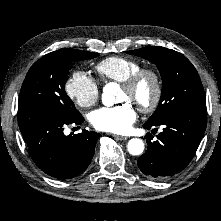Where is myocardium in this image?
I'll return each instance as SVG.
<instances>
[{
    "instance_id": "myocardium-1",
    "label": "myocardium",
    "mask_w": 221,
    "mask_h": 221,
    "mask_svg": "<svg viewBox=\"0 0 221 221\" xmlns=\"http://www.w3.org/2000/svg\"><path fill=\"white\" fill-rule=\"evenodd\" d=\"M150 78L153 83V96L149 103L136 106L142 113H151L158 107L162 97V80L159 73L151 68H141L121 83V87L127 91H133L144 78Z\"/></svg>"
}]
</instances>
